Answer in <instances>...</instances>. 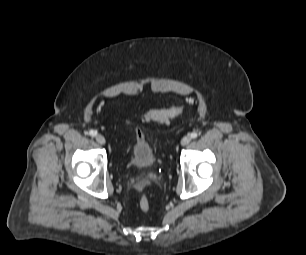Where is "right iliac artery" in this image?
I'll use <instances>...</instances> for the list:
<instances>
[{
  "instance_id": "obj_1",
  "label": "right iliac artery",
  "mask_w": 306,
  "mask_h": 255,
  "mask_svg": "<svg viewBox=\"0 0 306 255\" xmlns=\"http://www.w3.org/2000/svg\"><path fill=\"white\" fill-rule=\"evenodd\" d=\"M89 134H90V136L94 137V136L97 135V132L94 131V130H90V131H89Z\"/></svg>"
}]
</instances>
